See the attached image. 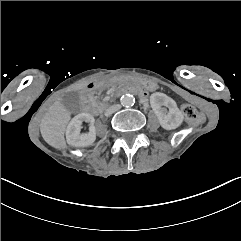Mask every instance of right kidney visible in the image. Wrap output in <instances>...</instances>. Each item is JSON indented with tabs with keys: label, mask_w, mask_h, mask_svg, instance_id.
<instances>
[{
	"label": "right kidney",
	"mask_w": 241,
	"mask_h": 241,
	"mask_svg": "<svg viewBox=\"0 0 241 241\" xmlns=\"http://www.w3.org/2000/svg\"><path fill=\"white\" fill-rule=\"evenodd\" d=\"M83 122L94 123L95 119L90 113H80L76 115L69 123L66 130V139L68 145L76 148H84L92 145L96 140L95 128L91 127L89 133L82 134Z\"/></svg>",
	"instance_id": "right-kidney-1"
}]
</instances>
